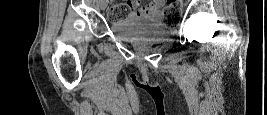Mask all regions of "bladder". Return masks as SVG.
Returning <instances> with one entry per match:
<instances>
[{
    "mask_svg": "<svg viewBox=\"0 0 267 115\" xmlns=\"http://www.w3.org/2000/svg\"><path fill=\"white\" fill-rule=\"evenodd\" d=\"M158 18L159 15L129 14L123 20L113 22L111 31L126 42L158 41L169 35L168 29L157 22Z\"/></svg>",
    "mask_w": 267,
    "mask_h": 115,
    "instance_id": "1",
    "label": "bladder"
}]
</instances>
